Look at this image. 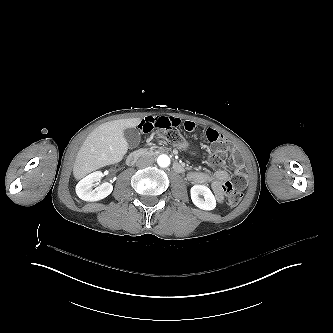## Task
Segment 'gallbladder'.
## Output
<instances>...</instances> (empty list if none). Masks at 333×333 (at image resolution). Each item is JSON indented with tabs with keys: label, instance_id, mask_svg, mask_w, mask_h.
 <instances>
[{
	"label": "gallbladder",
	"instance_id": "obj_1",
	"mask_svg": "<svg viewBox=\"0 0 333 333\" xmlns=\"http://www.w3.org/2000/svg\"><path fill=\"white\" fill-rule=\"evenodd\" d=\"M124 138L128 143V147L131 149L136 148L141 141L140 132L136 128L125 129Z\"/></svg>",
	"mask_w": 333,
	"mask_h": 333
}]
</instances>
